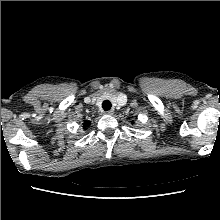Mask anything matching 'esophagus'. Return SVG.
Wrapping results in <instances>:
<instances>
[{
  "label": "esophagus",
  "mask_w": 220,
  "mask_h": 220,
  "mask_svg": "<svg viewBox=\"0 0 220 220\" xmlns=\"http://www.w3.org/2000/svg\"><path fill=\"white\" fill-rule=\"evenodd\" d=\"M105 114H106V115H113V114H114V111H113V110H109V111H106Z\"/></svg>",
  "instance_id": "34e87169"
}]
</instances>
